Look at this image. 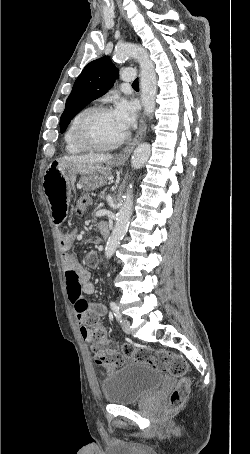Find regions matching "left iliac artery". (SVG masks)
I'll return each instance as SVG.
<instances>
[{
	"label": "left iliac artery",
	"instance_id": "44dca946",
	"mask_svg": "<svg viewBox=\"0 0 250 454\" xmlns=\"http://www.w3.org/2000/svg\"><path fill=\"white\" fill-rule=\"evenodd\" d=\"M110 307L114 313V316L116 317L117 321L121 322L122 315L119 310V306L115 302L110 303Z\"/></svg>",
	"mask_w": 250,
	"mask_h": 454
}]
</instances>
